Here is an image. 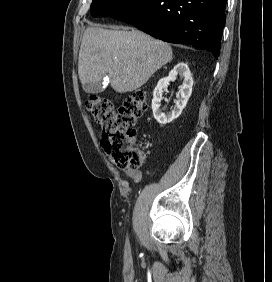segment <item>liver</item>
Instances as JSON below:
<instances>
[{
  "label": "liver",
  "mask_w": 272,
  "mask_h": 282,
  "mask_svg": "<svg viewBox=\"0 0 272 282\" xmlns=\"http://www.w3.org/2000/svg\"><path fill=\"white\" fill-rule=\"evenodd\" d=\"M173 58L169 44L132 29L88 27L78 57L82 85L109 77L118 93L134 91Z\"/></svg>",
  "instance_id": "obj_1"
}]
</instances>
